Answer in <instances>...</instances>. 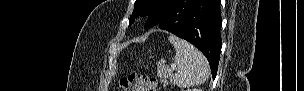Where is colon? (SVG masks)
<instances>
[{"label":"colon","instance_id":"colon-1","mask_svg":"<svg viewBox=\"0 0 304 91\" xmlns=\"http://www.w3.org/2000/svg\"><path fill=\"white\" fill-rule=\"evenodd\" d=\"M123 91H156L157 80L142 75L132 74L120 80Z\"/></svg>","mask_w":304,"mask_h":91}]
</instances>
